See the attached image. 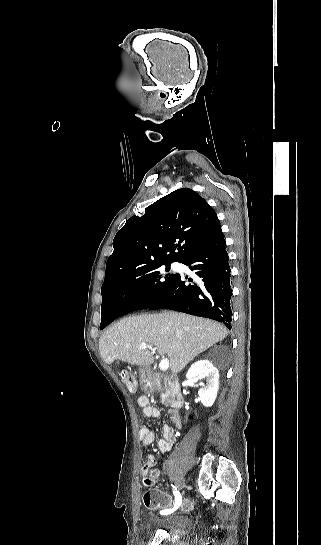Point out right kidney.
Instances as JSON below:
<instances>
[{
	"label": "right kidney",
	"instance_id": "right-kidney-1",
	"mask_svg": "<svg viewBox=\"0 0 321 545\" xmlns=\"http://www.w3.org/2000/svg\"><path fill=\"white\" fill-rule=\"evenodd\" d=\"M200 377H206L207 385L203 389H199L198 395L204 407H212L219 387V371L214 370L210 361H197L191 365L188 373H186V383L194 385L199 381Z\"/></svg>",
	"mask_w": 321,
	"mask_h": 545
}]
</instances>
